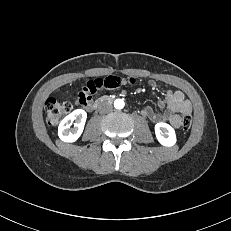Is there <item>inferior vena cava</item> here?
I'll return each instance as SVG.
<instances>
[{
  "label": "inferior vena cava",
  "instance_id": "602c4592",
  "mask_svg": "<svg viewBox=\"0 0 231 231\" xmlns=\"http://www.w3.org/2000/svg\"><path fill=\"white\" fill-rule=\"evenodd\" d=\"M112 110V104L108 101L100 102L98 105V111L100 113H107Z\"/></svg>",
  "mask_w": 231,
  "mask_h": 231
}]
</instances>
